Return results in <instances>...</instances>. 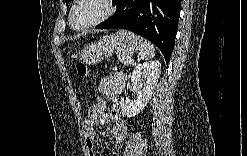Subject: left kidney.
I'll return each instance as SVG.
<instances>
[{
	"label": "left kidney",
	"instance_id": "obj_1",
	"mask_svg": "<svg viewBox=\"0 0 247 156\" xmlns=\"http://www.w3.org/2000/svg\"><path fill=\"white\" fill-rule=\"evenodd\" d=\"M161 70L159 61H148L137 65L132 74V85L137 86L135 100L126 98L124 111L128 117H134L140 113L149 102L158 82Z\"/></svg>",
	"mask_w": 247,
	"mask_h": 156
}]
</instances>
